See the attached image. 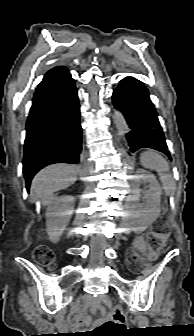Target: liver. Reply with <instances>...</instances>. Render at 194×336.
I'll use <instances>...</instances> for the list:
<instances>
[{
  "instance_id": "6515ba94",
  "label": "liver",
  "mask_w": 194,
  "mask_h": 336,
  "mask_svg": "<svg viewBox=\"0 0 194 336\" xmlns=\"http://www.w3.org/2000/svg\"><path fill=\"white\" fill-rule=\"evenodd\" d=\"M79 168L68 164H53L42 169L31 183V202L50 201L52 195L72 185L77 180Z\"/></svg>"
}]
</instances>
